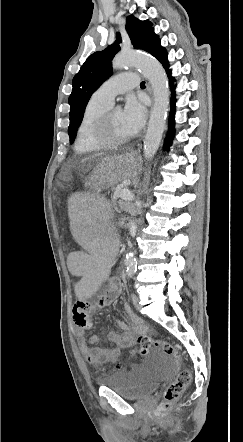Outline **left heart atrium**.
<instances>
[{
    "label": "left heart atrium",
    "mask_w": 243,
    "mask_h": 442,
    "mask_svg": "<svg viewBox=\"0 0 243 442\" xmlns=\"http://www.w3.org/2000/svg\"><path fill=\"white\" fill-rule=\"evenodd\" d=\"M122 113L124 123L131 135L137 133L143 127L146 109L141 102L135 99H129Z\"/></svg>",
    "instance_id": "obj_1"
}]
</instances>
